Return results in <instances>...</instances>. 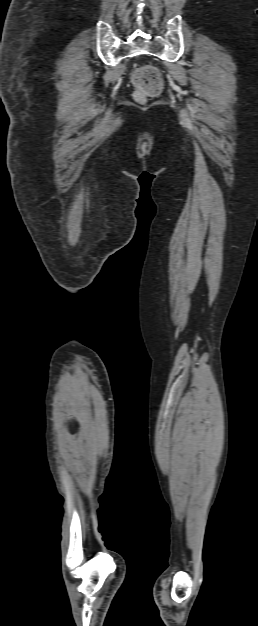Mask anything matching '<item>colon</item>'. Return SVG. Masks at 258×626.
Wrapping results in <instances>:
<instances>
[{"mask_svg": "<svg viewBox=\"0 0 258 626\" xmlns=\"http://www.w3.org/2000/svg\"><path fill=\"white\" fill-rule=\"evenodd\" d=\"M133 83L137 88L135 98L138 101L157 95L162 88L161 75L151 66L137 69L133 74Z\"/></svg>", "mask_w": 258, "mask_h": 626, "instance_id": "5ec220e1", "label": "colon"}]
</instances>
